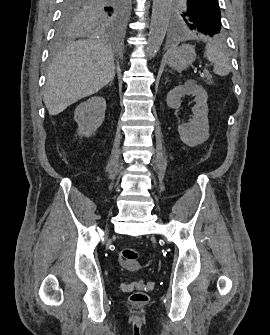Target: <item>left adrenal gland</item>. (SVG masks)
I'll use <instances>...</instances> for the list:
<instances>
[{
	"instance_id": "left-adrenal-gland-1",
	"label": "left adrenal gland",
	"mask_w": 270,
	"mask_h": 335,
	"mask_svg": "<svg viewBox=\"0 0 270 335\" xmlns=\"http://www.w3.org/2000/svg\"><path fill=\"white\" fill-rule=\"evenodd\" d=\"M165 80H166L165 84H167V82H169L168 78H165Z\"/></svg>"
}]
</instances>
